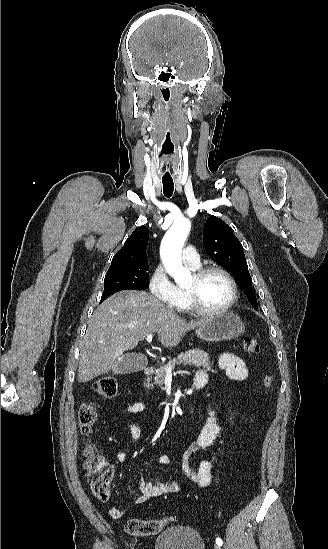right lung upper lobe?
I'll use <instances>...</instances> for the list:
<instances>
[{"label": "right lung upper lobe", "mask_w": 328, "mask_h": 549, "mask_svg": "<svg viewBox=\"0 0 328 549\" xmlns=\"http://www.w3.org/2000/svg\"><path fill=\"white\" fill-rule=\"evenodd\" d=\"M149 240V230L140 226L133 231L125 241L124 246L114 255L108 271L128 264L147 260L146 247Z\"/></svg>", "instance_id": "cb5924a9"}]
</instances>
